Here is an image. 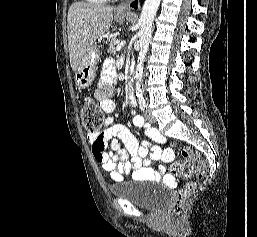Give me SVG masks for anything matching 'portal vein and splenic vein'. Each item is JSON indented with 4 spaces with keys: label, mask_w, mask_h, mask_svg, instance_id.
<instances>
[{
    "label": "portal vein and splenic vein",
    "mask_w": 257,
    "mask_h": 237,
    "mask_svg": "<svg viewBox=\"0 0 257 237\" xmlns=\"http://www.w3.org/2000/svg\"><path fill=\"white\" fill-rule=\"evenodd\" d=\"M124 45H125V41H121V42L117 45L116 51H120V50L123 48Z\"/></svg>",
    "instance_id": "18ae733b"
}]
</instances>
